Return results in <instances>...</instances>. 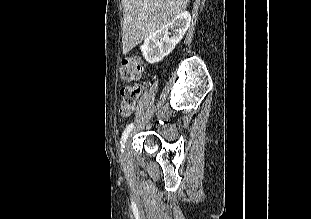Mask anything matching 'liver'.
Listing matches in <instances>:
<instances>
[{
    "instance_id": "1",
    "label": "liver",
    "mask_w": 311,
    "mask_h": 219,
    "mask_svg": "<svg viewBox=\"0 0 311 219\" xmlns=\"http://www.w3.org/2000/svg\"><path fill=\"white\" fill-rule=\"evenodd\" d=\"M124 25L123 54L141 43L187 7L189 0H122Z\"/></svg>"
}]
</instances>
